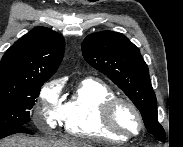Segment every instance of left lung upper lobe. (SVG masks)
Returning <instances> with one entry per match:
<instances>
[{
	"mask_svg": "<svg viewBox=\"0 0 183 147\" xmlns=\"http://www.w3.org/2000/svg\"><path fill=\"white\" fill-rule=\"evenodd\" d=\"M82 53L92 67L107 75L130 98L140 110L148 132L164 141L149 70L139 49L123 34L103 31L84 39Z\"/></svg>",
	"mask_w": 183,
	"mask_h": 147,
	"instance_id": "left-lung-upper-lobe-1",
	"label": "left lung upper lobe"
}]
</instances>
